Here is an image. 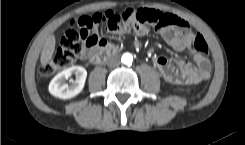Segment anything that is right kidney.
<instances>
[{
    "label": "right kidney",
    "mask_w": 245,
    "mask_h": 145,
    "mask_svg": "<svg viewBox=\"0 0 245 145\" xmlns=\"http://www.w3.org/2000/svg\"><path fill=\"white\" fill-rule=\"evenodd\" d=\"M75 75V80L70 84L66 82L68 78ZM87 77V71L81 66H72L58 73L49 84L51 95L61 98L70 99L78 95L84 88Z\"/></svg>",
    "instance_id": "1"
}]
</instances>
